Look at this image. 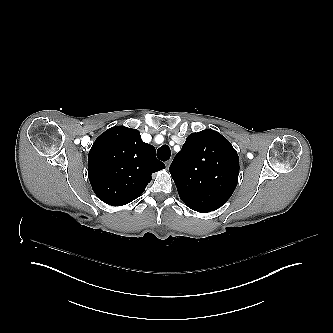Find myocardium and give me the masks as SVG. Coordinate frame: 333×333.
Here are the masks:
<instances>
[{"label":"myocardium","mask_w":333,"mask_h":333,"mask_svg":"<svg viewBox=\"0 0 333 333\" xmlns=\"http://www.w3.org/2000/svg\"><path fill=\"white\" fill-rule=\"evenodd\" d=\"M201 131L203 132H210V131H213V130H207V131H204L203 129H200ZM156 142V141H155Z\"/></svg>","instance_id":"obj_1"}]
</instances>
